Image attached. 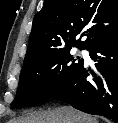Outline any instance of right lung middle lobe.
I'll list each match as a JSON object with an SVG mask.
<instances>
[{"instance_id":"right-lung-middle-lobe-1","label":"right lung middle lobe","mask_w":118,"mask_h":123,"mask_svg":"<svg viewBox=\"0 0 118 123\" xmlns=\"http://www.w3.org/2000/svg\"><path fill=\"white\" fill-rule=\"evenodd\" d=\"M71 48L55 50L24 64L12 107L32 105L51 97L79 70L83 59L74 58Z\"/></svg>"}]
</instances>
